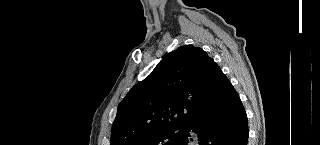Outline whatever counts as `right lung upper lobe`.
<instances>
[{
  "instance_id": "obj_1",
  "label": "right lung upper lobe",
  "mask_w": 320,
  "mask_h": 145,
  "mask_svg": "<svg viewBox=\"0 0 320 145\" xmlns=\"http://www.w3.org/2000/svg\"><path fill=\"white\" fill-rule=\"evenodd\" d=\"M223 76L203 49L180 46L119 104L111 145H131L157 130L185 127L200 118L212 108Z\"/></svg>"
}]
</instances>
